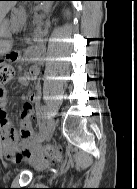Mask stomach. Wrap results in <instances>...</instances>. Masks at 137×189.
<instances>
[{"label":"stomach","instance_id":"0dacf381","mask_svg":"<svg viewBox=\"0 0 137 189\" xmlns=\"http://www.w3.org/2000/svg\"><path fill=\"white\" fill-rule=\"evenodd\" d=\"M9 35V24L7 20H4L0 24V53H4L7 50Z\"/></svg>","mask_w":137,"mask_h":189}]
</instances>
